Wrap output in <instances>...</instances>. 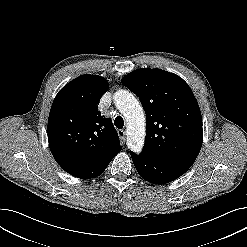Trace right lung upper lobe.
I'll list each match as a JSON object with an SVG mask.
<instances>
[{"label": "right lung upper lobe", "instance_id": "cb5924a9", "mask_svg": "<svg viewBox=\"0 0 247 247\" xmlns=\"http://www.w3.org/2000/svg\"><path fill=\"white\" fill-rule=\"evenodd\" d=\"M108 87L103 77L86 74L55 97L48 119V142L61 167L92 166L121 151L112 121L97 107Z\"/></svg>", "mask_w": 247, "mask_h": 247}]
</instances>
